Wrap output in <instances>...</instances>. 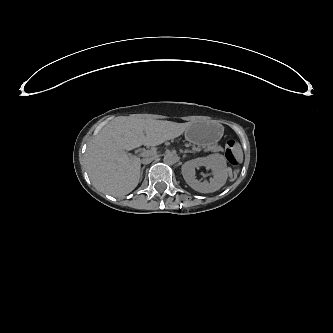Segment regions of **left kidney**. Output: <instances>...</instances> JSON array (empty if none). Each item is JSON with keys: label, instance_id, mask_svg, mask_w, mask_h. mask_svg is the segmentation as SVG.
Returning a JSON list of instances; mask_svg holds the SVG:
<instances>
[{"label": "left kidney", "instance_id": "5707ae66", "mask_svg": "<svg viewBox=\"0 0 333 333\" xmlns=\"http://www.w3.org/2000/svg\"><path fill=\"white\" fill-rule=\"evenodd\" d=\"M205 167L211 170L212 178L200 181L196 177V169ZM230 168L221 154H210L185 162L182 166V175L186 183L194 190L201 193H211L223 187L227 181Z\"/></svg>", "mask_w": 333, "mask_h": 333}]
</instances>
